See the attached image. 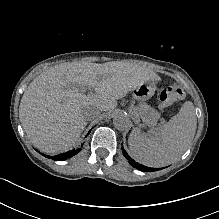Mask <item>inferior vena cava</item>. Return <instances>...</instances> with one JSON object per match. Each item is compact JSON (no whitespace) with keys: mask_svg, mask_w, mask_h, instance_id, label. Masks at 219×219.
I'll return each mask as SVG.
<instances>
[{"mask_svg":"<svg viewBox=\"0 0 219 219\" xmlns=\"http://www.w3.org/2000/svg\"><path fill=\"white\" fill-rule=\"evenodd\" d=\"M85 118L88 122L90 123H95L99 120L100 118V113L97 109L95 108H90L86 111L85 113Z\"/></svg>","mask_w":219,"mask_h":219,"instance_id":"inferior-vena-cava-1","label":"inferior vena cava"}]
</instances>
